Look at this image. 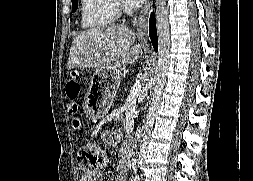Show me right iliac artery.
Listing matches in <instances>:
<instances>
[{
  "label": "right iliac artery",
  "mask_w": 253,
  "mask_h": 181,
  "mask_svg": "<svg viewBox=\"0 0 253 181\" xmlns=\"http://www.w3.org/2000/svg\"><path fill=\"white\" fill-rule=\"evenodd\" d=\"M136 162H137V161H136ZM136 162H135V163H136ZM137 164H138V166H141V165H142V161L138 160Z\"/></svg>",
  "instance_id": "obj_1"
}]
</instances>
